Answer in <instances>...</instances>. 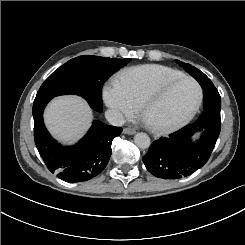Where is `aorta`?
Masks as SVG:
<instances>
[{
    "instance_id": "762f6f07",
    "label": "aorta",
    "mask_w": 245,
    "mask_h": 245,
    "mask_svg": "<svg viewBox=\"0 0 245 245\" xmlns=\"http://www.w3.org/2000/svg\"><path fill=\"white\" fill-rule=\"evenodd\" d=\"M134 142L141 149H146L151 144V140H150L149 136L143 132L137 133L135 135Z\"/></svg>"
}]
</instances>
